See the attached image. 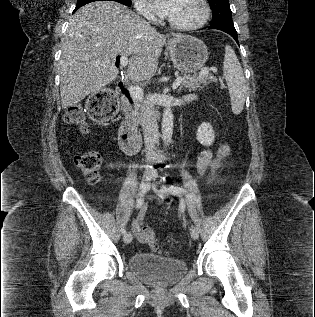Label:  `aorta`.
Wrapping results in <instances>:
<instances>
[{
  "mask_svg": "<svg viewBox=\"0 0 315 317\" xmlns=\"http://www.w3.org/2000/svg\"><path fill=\"white\" fill-rule=\"evenodd\" d=\"M173 113L170 106L164 109L162 117V140L165 145L171 141L173 134Z\"/></svg>",
  "mask_w": 315,
  "mask_h": 317,
  "instance_id": "obj_1",
  "label": "aorta"
}]
</instances>
